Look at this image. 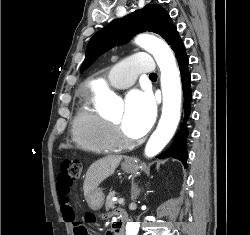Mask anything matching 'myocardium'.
<instances>
[{
  "label": "myocardium",
  "instance_id": "myocardium-1",
  "mask_svg": "<svg viewBox=\"0 0 250 235\" xmlns=\"http://www.w3.org/2000/svg\"><path fill=\"white\" fill-rule=\"evenodd\" d=\"M113 126H114V128L116 129V132H117V135L118 136H121L122 138H124V139H127V137H126V135L124 134V132H123V130H122V128L120 127V125L119 124H117V123H115V122H110Z\"/></svg>",
  "mask_w": 250,
  "mask_h": 235
}]
</instances>
